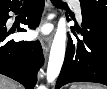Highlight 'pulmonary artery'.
<instances>
[{"label": "pulmonary artery", "mask_w": 107, "mask_h": 89, "mask_svg": "<svg viewBox=\"0 0 107 89\" xmlns=\"http://www.w3.org/2000/svg\"><path fill=\"white\" fill-rule=\"evenodd\" d=\"M72 4L75 8V12L77 15V18L81 21L82 20V15H81V6L78 0H72Z\"/></svg>", "instance_id": "1"}]
</instances>
